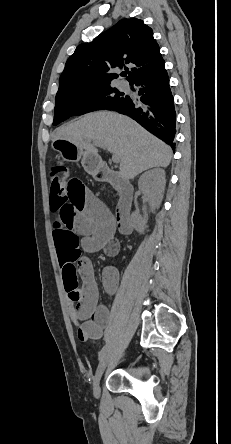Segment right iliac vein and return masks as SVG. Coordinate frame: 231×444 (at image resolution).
I'll return each mask as SVG.
<instances>
[{"label":"right iliac vein","mask_w":231,"mask_h":444,"mask_svg":"<svg viewBox=\"0 0 231 444\" xmlns=\"http://www.w3.org/2000/svg\"><path fill=\"white\" fill-rule=\"evenodd\" d=\"M108 360H109V353H105L103 355V357L100 359L95 376L93 378V392L96 397H98L100 394L99 384H100L101 377H102V375L105 371V368L107 366Z\"/></svg>","instance_id":"right-iliac-vein-1"}]
</instances>
